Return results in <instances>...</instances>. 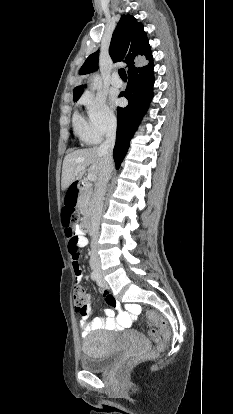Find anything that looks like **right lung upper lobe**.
Instances as JSON below:
<instances>
[{
	"label": "right lung upper lobe",
	"mask_w": 233,
	"mask_h": 414,
	"mask_svg": "<svg viewBox=\"0 0 233 414\" xmlns=\"http://www.w3.org/2000/svg\"><path fill=\"white\" fill-rule=\"evenodd\" d=\"M109 54L114 62L122 61L127 64L129 76L143 72L154 65L143 25L132 15H123L120 18L112 35ZM98 56L99 51L91 54L80 68L79 74L94 72L98 68ZM85 87L80 85L74 88V101L79 99Z\"/></svg>",
	"instance_id": "obj_1"
}]
</instances>
